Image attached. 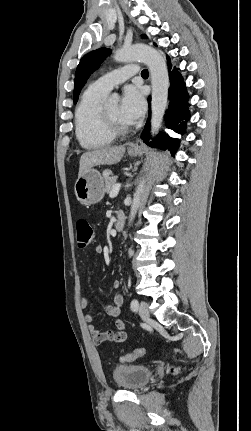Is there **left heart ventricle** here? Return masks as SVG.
Wrapping results in <instances>:
<instances>
[{"label":"left heart ventricle","mask_w":251,"mask_h":431,"mask_svg":"<svg viewBox=\"0 0 251 431\" xmlns=\"http://www.w3.org/2000/svg\"><path fill=\"white\" fill-rule=\"evenodd\" d=\"M107 113L118 123L122 125H128L126 121L123 119L120 111V105L118 103H113L105 107Z\"/></svg>","instance_id":"b2bd125f"}]
</instances>
